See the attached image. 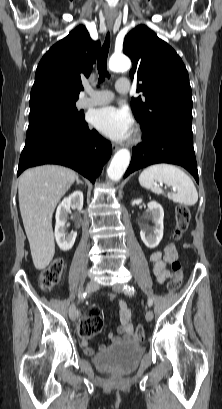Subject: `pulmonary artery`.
I'll use <instances>...</instances> for the list:
<instances>
[{"mask_svg":"<svg viewBox=\"0 0 222 409\" xmlns=\"http://www.w3.org/2000/svg\"><path fill=\"white\" fill-rule=\"evenodd\" d=\"M115 89L118 93L129 92V86L118 81L115 85ZM114 94L110 90H94L91 86H86V95L79 100L80 107H90L103 105L111 102L113 100Z\"/></svg>","mask_w":222,"mask_h":409,"instance_id":"pulmonary-artery-1","label":"pulmonary artery"}]
</instances>
